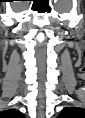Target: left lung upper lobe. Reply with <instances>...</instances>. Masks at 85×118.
<instances>
[{"mask_svg":"<svg viewBox=\"0 0 85 118\" xmlns=\"http://www.w3.org/2000/svg\"><path fill=\"white\" fill-rule=\"evenodd\" d=\"M76 111V108H65L61 111V116H67Z\"/></svg>","mask_w":85,"mask_h":118,"instance_id":"left-lung-upper-lobe-1","label":"left lung upper lobe"}]
</instances>
